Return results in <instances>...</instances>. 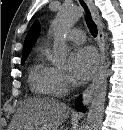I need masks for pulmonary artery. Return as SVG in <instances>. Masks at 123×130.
<instances>
[{
    "label": "pulmonary artery",
    "instance_id": "pulmonary-artery-1",
    "mask_svg": "<svg viewBox=\"0 0 123 130\" xmlns=\"http://www.w3.org/2000/svg\"><path fill=\"white\" fill-rule=\"evenodd\" d=\"M66 39L68 41H71V42H74L77 44H81L85 41V35L79 29H72L67 33Z\"/></svg>",
    "mask_w": 123,
    "mask_h": 130
}]
</instances>
